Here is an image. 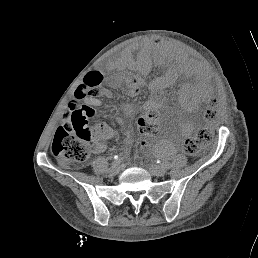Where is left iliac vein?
I'll return each mask as SVG.
<instances>
[{
  "label": "left iliac vein",
  "mask_w": 258,
  "mask_h": 258,
  "mask_svg": "<svg viewBox=\"0 0 258 258\" xmlns=\"http://www.w3.org/2000/svg\"><path fill=\"white\" fill-rule=\"evenodd\" d=\"M149 170L154 176H162L164 174V169L157 165H150Z\"/></svg>",
  "instance_id": "4c4485c4"
}]
</instances>
